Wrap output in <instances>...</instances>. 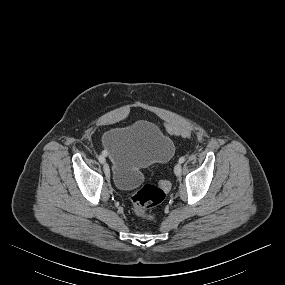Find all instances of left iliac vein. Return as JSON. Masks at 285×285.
<instances>
[{"instance_id": "1", "label": "left iliac vein", "mask_w": 285, "mask_h": 285, "mask_svg": "<svg viewBox=\"0 0 285 285\" xmlns=\"http://www.w3.org/2000/svg\"><path fill=\"white\" fill-rule=\"evenodd\" d=\"M174 173L176 176H180L182 173V166L180 163L176 164L174 167Z\"/></svg>"}]
</instances>
